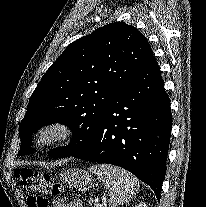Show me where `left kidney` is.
<instances>
[{
    "label": "left kidney",
    "mask_w": 206,
    "mask_h": 207,
    "mask_svg": "<svg viewBox=\"0 0 206 207\" xmlns=\"http://www.w3.org/2000/svg\"><path fill=\"white\" fill-rule=\"evenodd\" d=\"M135 207H147L145 203H140L138 205H135Z\"/></svg>",
    "instance_id": "left-kidney-1"
}]
</instances>
